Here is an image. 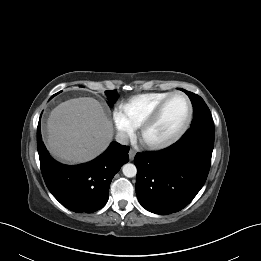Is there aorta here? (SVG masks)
<instances>
[{
  "label": "aorta",
  "mask_w": 261,
  "mask_h": 261,
  "mask_svg": "<svg viewBox=\"0 0 261 261\" xmlns=\"http://www.w3.org/2000/svg\"><path fill=\"white\" fill-rule=\"evenodd\" d=\"M122 172L126 177L132 178L136 176L137 168L134 164L127 163L122 167Z\"/></svg>",
  "instance_id": "762f6f07"
}]
</instances>
